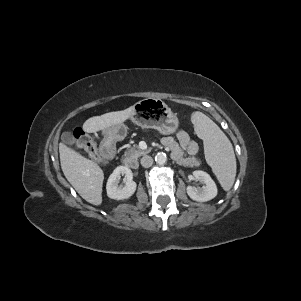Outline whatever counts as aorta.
Returning a JSON list of instances; mask_svg holds the SVG:
<instances>
[{
    "label": "aorta",
    "mask_w": 301,
    "mask_h": 301,
    "mask_svg": "<svg viewBox=\"0 0 301 301\" xmlns=\"http://www.w3.org/2000/svg\"><path fill=\"white\" fill-rule=\"evenodd\" d=\"M155 161L156 163L160 164V165H163L167 162V156L165 153L163 152H159L156 154L155 156Z\"/></svg>",
    "instance_id": "1"
}]
</instances>
